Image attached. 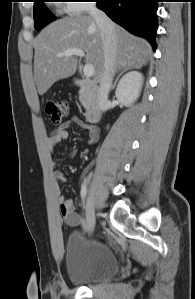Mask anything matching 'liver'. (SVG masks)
Returning a JSON list of instances; mask_svg holds the SVG:
<instances>
[{
	"label": "liver",
	"mask_w": 195,
	"mask_h": 299,
	"mask_svg": "<svg viewBox=\"0 0 195 299\" xmlns=\"http://www.w3.org/2000/svg\"><path fill=\"white\" fill-rule=\"evenodd\" d=\"M114 26L117 39L115 71L145 65L152 53L150 44L122 27ZM33 46L34 80L40 95L56 81L76 72L79 63L76 56H57L70 48L86 53L85 61L94 66V77L100 81L104 69L103 45L98 25L90 15H73L54 21L39 33Z\"/></svg>",
	"instance_id": "obj_1"
}]
</instances>
